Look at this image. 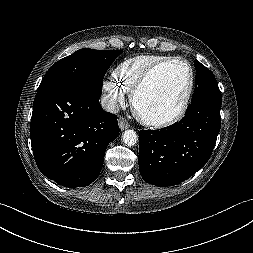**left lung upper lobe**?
<instances>
[{"instance_id": "1", "label": "left lung upper lobe", "mask_w": 253, "mask_h": 253, "mask_svg": "<svg viewBox=\"0 0 253 253\" xmlns=\"http://www.w3.org/2000/svg\"><path fill=\"white\" fill-rule=\"evenodd\" d=\"M195 69L196 88L191 102L203 97L222 98L213 73L197 60H195Z\"/></svg>"}]
</instances>
